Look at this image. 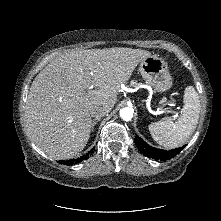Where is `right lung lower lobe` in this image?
Here are the masks:
<instances>
[{"label": "right lung lower lobe", "instance_id": "obj_1", "mask_svg": "<svg viewBox=\"0 0 221 221\" xmlns=\"http://www.w3.org/2000/svg\"><path fill=\"white\" fill-rule=\"evenodd\" d=\"M88 158V154L81 156L80 158L77 159H70V160H60L59 163L60 164H65V165H73V164H77L80 163L84 160H86Z\"/></svg>", "mask_w": 221, "mask_h": 221}]
</instances>
